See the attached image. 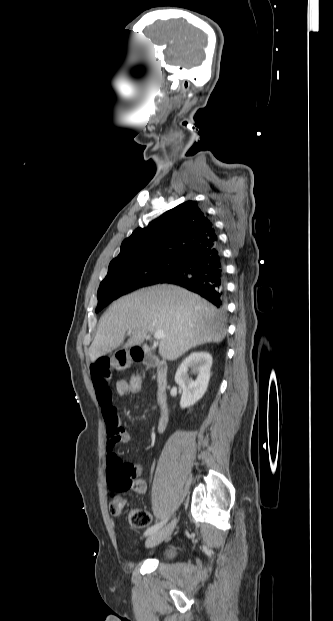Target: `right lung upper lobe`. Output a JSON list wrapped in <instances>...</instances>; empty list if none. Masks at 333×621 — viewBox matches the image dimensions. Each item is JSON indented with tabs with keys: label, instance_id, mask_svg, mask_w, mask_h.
Wrapping results in <instances>:
<instances>
[{
	"label": "right lung upper lobe",
	"instance_id": "right-lung-upper-lobe-1",
	"mask_svg": "<svg viewBox=\"0 0 333 621\" xmlns=\"http://www.w3.org/2000/svg\"><path fill=\"white\" fill-rule=\"evenodd\" d=\"M217 241L213 223L196 201H186L137 228L110 264L160 257L183 258Z\"/></svg>",
	"mask_w": 333,
	"mask_h": 621
}]
</instances>
